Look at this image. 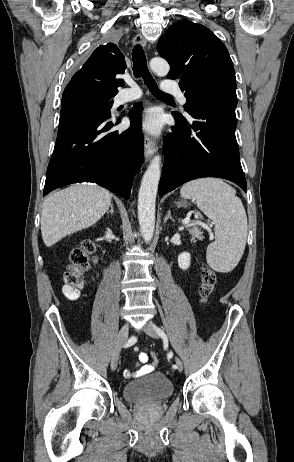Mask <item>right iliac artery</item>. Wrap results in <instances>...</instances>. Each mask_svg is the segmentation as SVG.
<instances>
[{
  "instance_id": "82829eb1",
  "label": "right iliac artery",
  "mask_w": 294,
  "mask_h": 462,
  "mask_svg": "<svg viewBox=\"0 0 294 462\" xmlns=\"http://www.w3.org/2000/svg\"><path fill=\"white\" fill-rule=\"evenodd\" d=\"M136 342V337H131L128 342L125 344L124 347H129L131 345H133L134 343Z\"/></svg>"
}]
</instances>
